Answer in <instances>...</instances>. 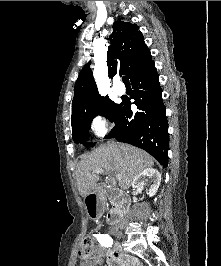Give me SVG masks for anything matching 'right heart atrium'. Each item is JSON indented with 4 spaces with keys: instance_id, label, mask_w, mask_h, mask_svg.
<instances>
[{
    "instance_id": "1",
    "label": "right heart atrium",
    "mask_w": 221,
    "mask_h": 266,
    "mask_svg": "<svg viewBox=\"0 0 221 266\" xmlns=\"http://www.w3.org/2000/svg\"><path fill=\"white\" fill-rule=\"evenodd\" d=\"M90 128L95 136L102 138L110 130V121L106 115H96L90 123Z\"/></svg>"
}]
</instances>
